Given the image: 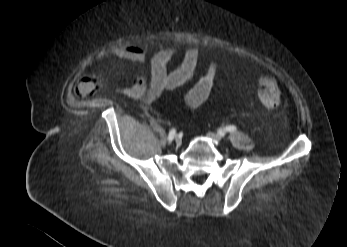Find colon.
<instances>
[{
    "label": "colon",
    "instance_id": "colon-1",
    "mask_svg": "<svg viewBox=\"0 0 347 247\" xmlns=\"http://www.w3.org/2000/svg\"><path fill=\"white\" fill-rule=\"evenodd\" d=\"M279 81L272 74H263L257 79L256 96L263 105L274 108L280 103Z\"/></svg>",
    "mask_w": 347,
    "mask_h": 247
}]
</instances>
